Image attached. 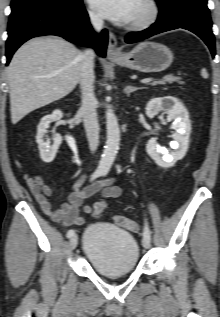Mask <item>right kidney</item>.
Instances as JSON below:
<instances>
[{
  "mask_svg": "<svg viewBox=\"0 0 220 317\" xmlns=\"http://www.w3.org/2000/svg\"><path fill=\"white\" fill-rule=\"evenodd\" d=\"M63 117V113L60 110L53 111L52 114L44 116L37 128L36 142L40 151L41 159L50 163L54 160L56 153L60 144L62 143V137L60 134H55L53 138V145L49 146L48 143L44 141L45 133L50 123L60 120Z\"/></svg>",
  "mask_w": 220,
  "mask_h": 317,
  "instance_id": "obj_1",
  "label": "right kidney"
}]
</instances>
